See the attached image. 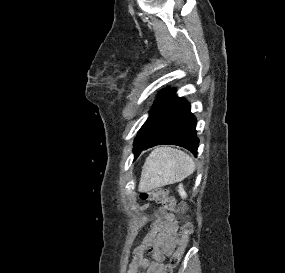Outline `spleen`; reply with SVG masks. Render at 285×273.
<instances>
[{"mask_svg":"<svg viewBox=\"0 0 285 273\" xmlns=\"http://www.w3.org/2000/svg\"><path fill=\"white\" fill-rule=\"evenodd\" d=\"M195 171L193 159L185 152L171 147L156 148L146 158L139 189L150 191L182 181Z\"/></svg>","mask_w":285,"mask_h":273,"instance_id":"obj_1","label":"spleen"}]
</instances>
